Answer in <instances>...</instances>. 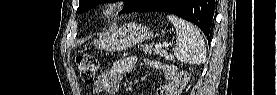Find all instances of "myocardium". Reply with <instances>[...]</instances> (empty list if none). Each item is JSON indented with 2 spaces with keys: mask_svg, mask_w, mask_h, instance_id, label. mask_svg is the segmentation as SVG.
I'll return each instance as SVG.
<instances>
[{
  "mask_svg": "<svg viewBox=\"0 0 277 95\" xmlns=\"http://www.w3.org/2000/svg\"><path fill=\"white\" fill-rule=\"evenodd\" d=\"M122 8L123 4L120 1H108L101 13L105 18H111L116 16Z\"/></svg>",
  "mask_w": 277,
  "mask_h": 95,
  "instance_id": "myocardium-1",
  "label": "myocardium"
}]
</instances>
